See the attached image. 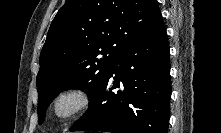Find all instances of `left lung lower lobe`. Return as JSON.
I'll return each instance as SVG.
<instances>
[{
  "label": "left lung lower lobe",
  "instance_id": "0a47b994",
  "mask_svg": "<svg viewBox=\"0 0 221 133\" xmlns=\"http://www.w3.org/2000/svg\"><path fill=\"white\" fill-rule=\"evenodd\" d=\"M169 55L167 33L160 18L123 48L89 110L70 131L167 133Z\"/></svg>",
  "mask_w": 221,
  "mask_h": 133
}]
</instances>
